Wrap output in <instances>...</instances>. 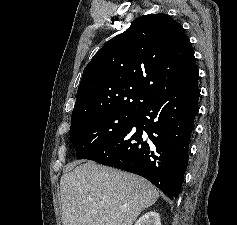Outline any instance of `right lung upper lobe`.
<instances>
[{
	"label": "right lung upper lobe",
	"mask_w": 237,
	"mask_h": 225,
	"mask_svg": "<svg viewBox=\"0 0 237 225\" xmlns=\"http://www.w3.org/2000/svg\"><path fill=\"white\" fill-rule=\"evenodd\" d=\"M198 85L193 48L171 16L144 15L85 67L71 124L103 113H136L160 94Z\"/></svg>",
	"instance_id": "right-lung-upper-lobe-1"
}]
</instances>
